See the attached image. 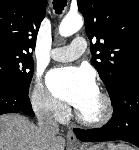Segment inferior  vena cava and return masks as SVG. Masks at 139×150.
I'll use <instances>...</instances> for the list:
<instances>
[{"label":"inferior vena cava","mask_w":139,"mask_h":150,"mask_svg":"<svg viewBox=\"0 0 139 150\" xmlns=\"http://www.w3.org/2000/svg\"><path fill=\"white\" fill-rule=\"evenodd\" d=\"M44 109L38 115V128L41 134L47 138L55 136L59 132V125L48 114L52 104L48 98L43 99Z\"/></svg>","instance_id":"602c4592"}]
</instances>
